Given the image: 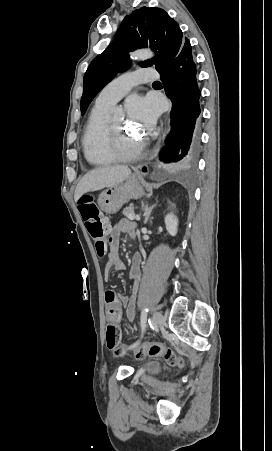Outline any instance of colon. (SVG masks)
Wrapping results in <instances>:
<instances>
[{"mask_svg": "<svg viewBox=\"0 0 272 451\" xmlns=\"http://www.w3.org/2000/svg\"><path fill=\"white\" fill-rule=\"evenodd\" d=\"M78 206L88 231L94 240L97 255L100 257L104 256L108 251L106 239L109 234L107 230H103L102 215L97 202L84 197L79 200ZM105 336L109 352L112 355L123 354V348L127 345V342L124 339L119 341V331L115 323L109 321L106 323ZM128 350L132 351L137 358H140V354H148L149 356L163 354V358L167 359L171 365H180V359L174 351L166 350L164 345H153L152 342H145L144 345H141L140 342H129Z\"/></svg>", "mask_w": 272, "mask_h": 451, "instance_id": "5ec220e1", "label": "colon"}]
</instances>
